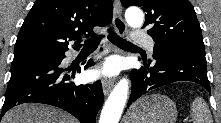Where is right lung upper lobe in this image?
Wrapping results in <instances>:
<instances>
[{"instance_id": "right-lung-upper-lobe-1", "label": "right lung upper lobe", "mask_w": 221, "mask_h": 123, "mask_svg": "<svg viewBox=\"0 0 221 123\" xmlns=\"http://www.w3.org/2000/svg\"><path fill=\"white\" fill-rule=\"evenodd\" d=\"M111 0H36L17 36L14 55L61 53L67 40L81 44L80 36H94L93 27L112 19Z\"/></svg>"}]
</instances>
